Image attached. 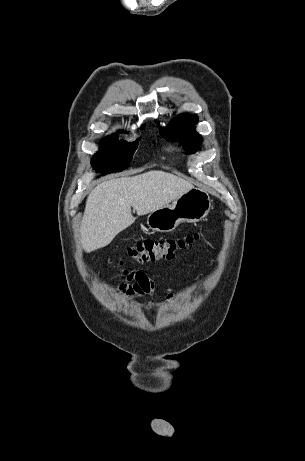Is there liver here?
<instances>
[{
  "instance_id": "6515ba94",
  "label": "liver",
  "mask_w": 305,
  "mask_h": 461,
  "mask_svg": "<svg viewBox=\"0 0 305 461\" xmlns=\"http://www.w3.org/2000/svg\"><path fill=\"white\" fill-rule=\"evenodd\" d=\"M193 185L164 171L154 170L132 177L111 179L97 185L89 194L80 227L81 244L86 252L107 246L117 234L145 215L174 201Z\"/></svg>"
}]
</instances>
